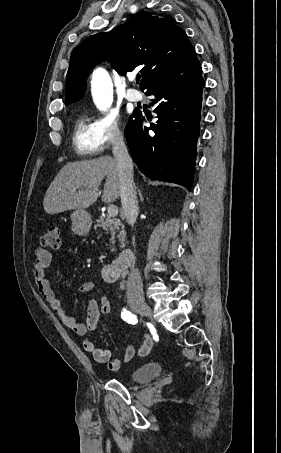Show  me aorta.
Listing matches in <instances>:
<instances>
[{"instance_id":"obj_1","label":"aorta","mask_w":281,"mask_h":453,"mask_svg":"<svg viewBox=\"0 0 281 453\" xmlns=\"http://www.w3.org/2000/svg\"><path fill=\"white\" fill-rule=\"evenodd\" d=\"M91 94L93 102L99 111L103 112L111 107L113 102V83L104 68H97L93 71Z\"/></svg>"}]
</instances>
